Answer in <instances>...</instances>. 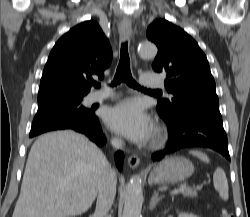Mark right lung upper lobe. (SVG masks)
Wrapping results in <instances>:
<instances>
[{
  "label": "right lung upper lobe",
  "instance_id": "obj_1",
  "mask_svg": "<svg viewBox=\"0 0 250 217\" xmlns=\"http://www.w3.org/2000/svg\"><path fill=\"white\" fill-rule=\"evenodd\" d=\"M112 49L100 26L85 21L63 35L53 47L40 82L38 108L82 99L92 75L102 78L111 63Z\"/></svg>",
  "mask_w": 250,
  "mask_h": 217
}]
</instances>
